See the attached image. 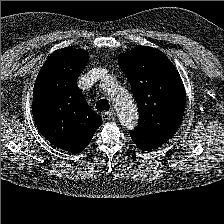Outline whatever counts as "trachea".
<instances>
[{
	"label": "trachea",
	"mask_w": 224,
	"mask_h": 224,
	"mask_svg": "<svg viewBox=\"0 0 224 224\" xmlns=\"http://www.w3.org/2000/svg\"><path fill=\"white\" fill-rule=\"evenodd\" d=\"M96 107L99 111L109 110V103L106 99H101L97 102Z\"/></svg>",
	"instance_id": "obj_1"
}]
</instances>
